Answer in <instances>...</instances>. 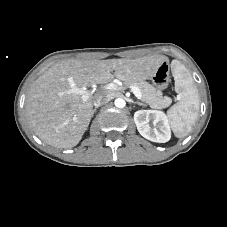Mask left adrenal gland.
Here are the masks:
<instances>
[{
  "mask_svg": "<svg viewBox=\"0 0 227 227\" xmlns=\"http://www.w3.org/2000/svg\"><path fill=\"white\" fill-rule=\"evenodd\" d=\"M134 104H138V105H140V106H143V104L142 103H140V102H133Z\"/></svg>",
  "mask_w": 227,
  "mask_h": 227,
  "instance_id": "1",
  "label": "left adrenal gland"
}]
</instances>
